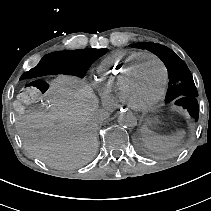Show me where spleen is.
Wrapping results in <instances>:
<instances>
[{"label":"spleen","mask_w":211,"mask_h":211,"mask_svg":"<svg viewBox=\"0 0 211 211\" xmlns=\"http://www.w3.org/2000/svg\"><path fill=\"white\" fill-rule=\"evenodd\" d=\"M180 134L183 135V132H180ZM178 139V137L155 135L151 131L146 133L145 137L143 138L146 146L155 151L165 150L167 146L174 143V141Z\"/></svg>","instance_id":"3e777b00"}]
</instances>
